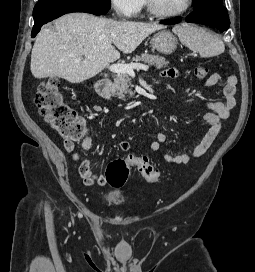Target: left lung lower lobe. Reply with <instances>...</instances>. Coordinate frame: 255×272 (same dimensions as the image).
Returning a JSON list of instances; mask_svg holds the SVG:
<instances>
[{"label": "left lung lower lobe", "instance_id": "0a47b994", "mask_svg": "<svg viewBox=\"0 0 255 272\" xmlns=\"http://www.w3.org/2000/svg\"><path fill=\"white\" fill-rule=\"evenodd\" d=\"M181 19H172L162 21L163 24H176ZM186 22L200 23L211 27H216L221 32L228 29L230 20L227 9L219 2H208L195 8L194 11L186 18Z\"/></svg>", "mask_w": 255, "mask_h": 272}]
</instances>
